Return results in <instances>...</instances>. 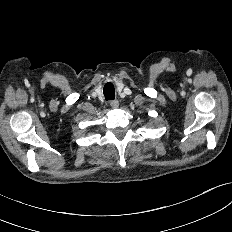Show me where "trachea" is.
Segmentation results:
<instances>
[{"mask_svg":"<svg viewBox=\"0 0 232 232\" xmlns=\"http://www.w3.org/2000/svg\"><path fill=\"white\" fill-rule=\"evenodd\" d=\"M103 93L106 100H114L115 98V88L111 82H107L104 85Z\"/></svg>","mask_w":232,"mask_h":232,"instance_id":"1","label":"trachea"}]
</instances>
